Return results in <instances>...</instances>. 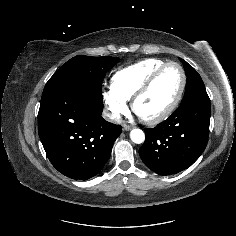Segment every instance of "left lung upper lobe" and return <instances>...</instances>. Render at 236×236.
I'll use <instances>...</instances> for the list:
<instances>
[{
	"label": "left lung upper lobe",
	"instance_id": "1",
	"mask_svg": "<svg viewBox=\"0 0 236 236\" xmlns=\"http://www.w3.org/2000/svg\"><path fill=\"white\" fill-rule=\"evenodd\" d=\"M180 61L183 63L187 76L186 90L181 104L192 98L207 95L204 83L198 72L183 59L180 58Z\"/></svg>",
	"mask_w": 236,
	"mask_h": 236
}]
</instances>
